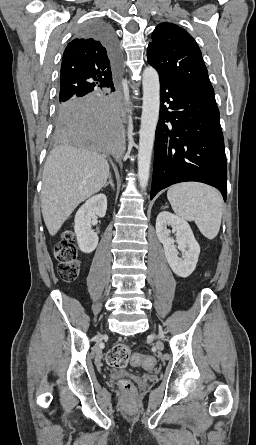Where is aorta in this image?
<instances>
[{
    "label": "aorta",
    "mask_w": 256,
    "mask_h": 445,
    "mask_svg": "<svg viewBox=\"0 0 256 445\" xmlns=\"http://www.w3.org/2000/svg\"><path fill=\"white\" fill-rule=\"evenodd\" d=\"M143 105L139 131L138 179L141 190L148 185L155 130L160 109V82L157 71L148 66L143 71Z\"/></svg>",
    "instance_id": "aorta-1"
}]
</instances>
